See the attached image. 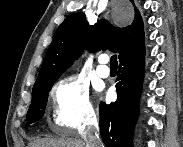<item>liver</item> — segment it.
<instances>
[{"label":"liver","instance_id":"liver-1","mask_svg":"<svg viewBox=\"0 0 183 147\" xmlns=\"http://www.w3.org/2000/svg\"><path fill=\"white\" fill-rule=\"evenodd\" d=\"M85 145L80 139L44 138L30 143L29 147H86Z\"/></svg>","mask_w":183,"mask_h":147}]
</instances>
